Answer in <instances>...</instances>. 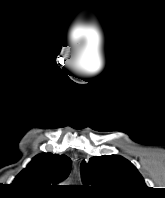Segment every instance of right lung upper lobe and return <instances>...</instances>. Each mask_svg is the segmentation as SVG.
<instances>
[{
	"mask_svg": "<svg viewBox=\"0 0 165 198\" xmlns=\"http://www.w3.org/2000/svg\"><path fill=\"white\" fill-rule=\"evenodd\" d=\"M71 168L66 155L39 154L14 179L13 185L32 195H49L64 180Z\"/></svg>",
	"mask_w": 165,
	"mask_h": 198,
	"instance_id": "cb5924a9",
	"label": "right lung upper lobe"
}]
</instances>
